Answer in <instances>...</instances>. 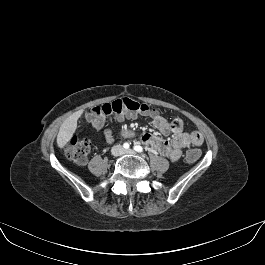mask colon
Wrapping results in <instances>:
<instances>
[{
  "instance_id": "colon-1",
  "label": "colon",
  "mask_w": 265,
  "mask_h": 265,
  "mask_svg": "<svg viewBox=\"0 0 265 265\" xmlns=\"http://www.w3.org/2000/svg\"><path fill=\"white\" fill-rule=\"evenodd\" d=\"M158 113L145 103H140L130 98H121L110 103L91 108L87 115V121L94 126H101L105 117L109 115H127L135 114L142 116H151ZM91 149V142L87 138H71L65 145L64 153L69 160L78 164L86 162ZM201 152L197 148L189 149L186 153V159L189 162H195L199 159Z\"/></svg>"
}]
</instances>
